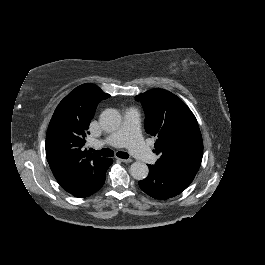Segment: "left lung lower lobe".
<instances>
[{"label":"left lung lower lobe","instance_id":"left-lung-lower-lobe-1","mask_svg":"<svg viewBox=\"0 0 265 265\" xmlns=\"http://www.w3.org/2000/svg\"><path fill=\"white\" fill-rule=\"evenodd\" d=\"M149 175L139 181L140 188L155 199H168L180 194L193 181L196 174L158 169L148 165Z\"/></svg>","mask_w":265,"mask_h":265}]
</instances>
